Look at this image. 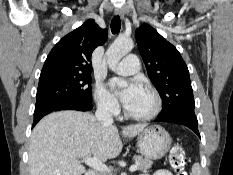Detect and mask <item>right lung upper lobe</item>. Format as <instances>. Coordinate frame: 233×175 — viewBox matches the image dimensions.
<instances>
[{
	"mask_svg": "<svg viewBox=\"0 0 233 175\" xmlns=\"http://www.w3.org/2000/svg\"><path fill=\"white\" fill-rule=\"evenodd\" d=\"M108 32L92 19L64 36L51 50L40 78L54 75L91 73V55L107 40Z\"/></svg>",
	"mask_w": 233,
	"mask_h": 175,
	"instance_id": "1",
	"label": "right lung upper lobe"
}]
</instances>
